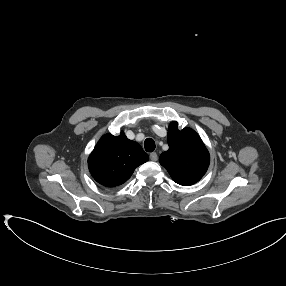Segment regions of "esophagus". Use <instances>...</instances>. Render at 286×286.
<instances>
[{
    "mask_svg": "<svg viewBox=\"0 0 286 286\" xmlns=\"http://www.w3.org/2000/svg\"><path fill=\"white\" fill-rule=\"evenodd\" d=\"M150 159H151L152 161H157V159H158L157 153H156V152L151 153V154H150Z\"/></svg>",
    "mask_w": 286,
    "mask_h": 286,
    "instance_id": "esophagus-1",
    "label": "esophagus"
}]
</instances>
